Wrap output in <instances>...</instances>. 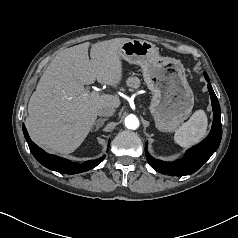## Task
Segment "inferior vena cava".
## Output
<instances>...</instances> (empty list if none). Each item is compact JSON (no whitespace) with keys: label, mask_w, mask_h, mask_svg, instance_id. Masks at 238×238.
<instances>
[{"label":"inferior vena cava","mask_w":238,"mask_h":238,"mask_svg":"<svg viewBox=\"0 0 238 238\" xmlns=\"http://www.w3.org/2000/svg\"><path fill=\"white\" fill-rule=\"evenodd\" d=\"M115 112V109L110 106H100L97 110L99 116H112Z\"/></svg>","instance_id":"602c4592"}]
</instances>
